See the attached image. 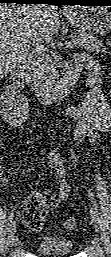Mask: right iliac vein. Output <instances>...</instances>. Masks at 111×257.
<instances>
[{
    "label": "right iliac vein",
    "instance_id": "right-iliac-vein-1",
    "mask_svg": "<svg viewBox=\"0 0 111 257\" xmlns=\"http://www.w3.org/2000/svg\"><path fill=\"white\" fill-rule=\"evenodd\" d=\"M12 231H15V223L13 224V228L11 229Z\"/></svg>",
    "mask_w": 111,
    "mask_h": 257
}]
</instances>
